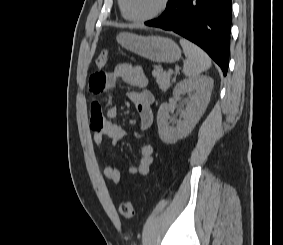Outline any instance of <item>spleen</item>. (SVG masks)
Returning <instances> with one entry per match:
<instances>
[{
	"instance_id": "1",
	"label": "spleen",
	"mask_w": 283,
	"mask_h": 245,
	"mask_svg": "<svg viewBox=\"0 0 283 245\" xmlns=\"http://www.w3.org/2000/svg\"><path fill=\"white\" fill-rule=\"evenodd\" d=\"M180 44L186 56L183 73L185 76L195 78L211 66L210 57L191 41L181 38Z\"/></svg>"
}]
</instances>
